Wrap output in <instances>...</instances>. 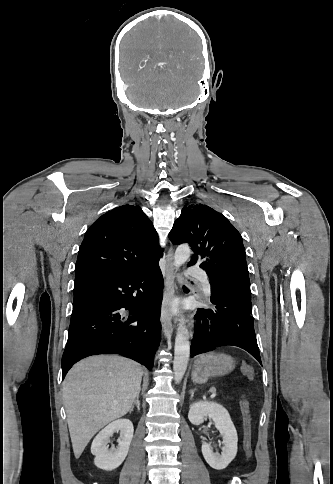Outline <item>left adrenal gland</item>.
I'll return each instance as SVG.
<instances>
[{"instance_id": "obj_1", "label": "left adrenal gland", "mask_w": 333, "mask_h": 484, "mask_svg": "<svg viewBox=\"0 0 333 484\" xmlns=\"http://www.w3.org/2000/svg\"><path fill=\"white\" fill-rule=\"evenodd\" d=\"M196 389H193V390H190L189 393H190V399L192 400L193 399V396H194V393H195Z\"/></svg>"}]
</instances>
